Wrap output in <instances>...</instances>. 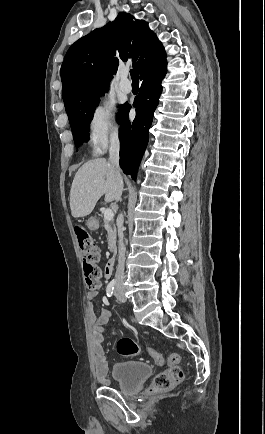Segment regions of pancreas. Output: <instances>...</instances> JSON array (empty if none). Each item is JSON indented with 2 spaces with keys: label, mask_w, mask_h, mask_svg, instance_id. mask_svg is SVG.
Returning <instances> with one entry per match:
<instances>
[{
  "label": "pancreas",
  "mask_w": 265,
  "mask_h": 434,
  "mask_svg": "<svg viewBox=\"0 0 265 434\" xmlns=\"http://www.w3.org/2000/svg\"><path fill=\"white\" fill-rule=\"evenodd\" d=\"M105 230L107 232L108 250L116 252V228L110 222H104Z\"/></svg>",
  "instance_id": "1"
}]
</instances>
